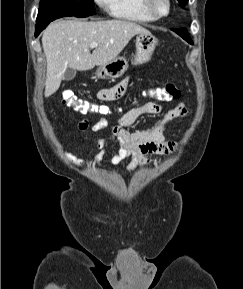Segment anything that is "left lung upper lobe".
<instances>
[{"label":"left lung upper lobe","mask_w":243,"mask_h":289,"mask_svg":"<svg viewBox=\"0 0 243 289\" xmlns=\"http://www.w3.org/2000/svg\"><path fill=\"white\" fill-rule=\"evenodd\" d=\"M178 2L182 5L185 6L188 3V0H178Z\"/></svg>","instance_id":"obj_1"}]
</instances>
